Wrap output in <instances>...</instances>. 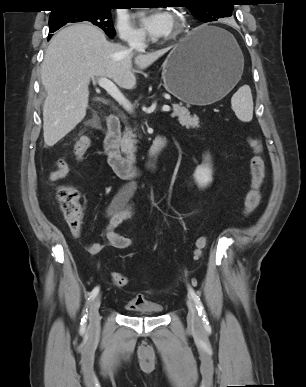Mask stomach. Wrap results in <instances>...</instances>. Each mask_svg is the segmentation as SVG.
<instances>
[{"instance_id": "0dacf381", "label": "stomach", "mask_w": 306, "mask_h": 387, "mask_svg": "<svg viewBox=\"0 0 306 387\" xmlns=\"http://www.w3.org/2000/svg\"><path fill=\"white\" fill-rule=\"evenodd\" d=\"M244 58L227 31L203 25L194 29L162 65L166 89L187 104L208 105L225 97L240 80Z\"/></svg>"}]
</instances>
